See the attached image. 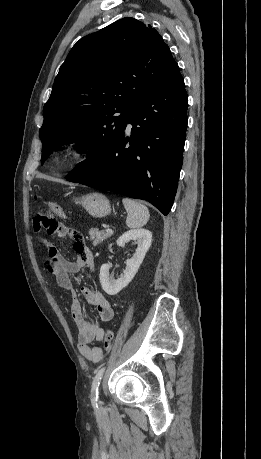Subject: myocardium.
<instances>
[{"mask_svg": "<svg viewBox=\"0 0 261 459\" xmlns=\"http://www.w3.org/2000/svg\"><path fill=\"white\" fill-rule=\"evenodd\" d=\"M89 154L87 145L79 140L64 144L55 155V164L61 169L71 168L84 161Z\"/></svg>", "mask_w": 261, "mask_h": 459, "instance_id": "1", "label": "myocardium"}]
</instances>
